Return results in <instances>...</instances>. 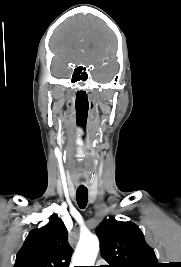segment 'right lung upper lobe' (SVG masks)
Instances as JSON below:
<instances>
[{
	"instance_id": "cb5924a9",
	"label": "right lung upper lobe",
	"mask_w": 181,
	"mask_h": 267,
	"mask_svg": "<svg viewBox=\"0 0 181 267\" xmlns=\"http://www.w3.org/2000/svg\"><path fill=\"white\" fill-rule=\"evenodd\" d=\"M70 258L67 229L52 215L46 226L29 233L14 267H69Z\"/></svg>"
}]
</instances>
